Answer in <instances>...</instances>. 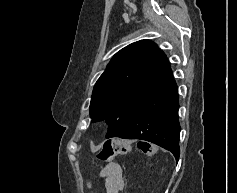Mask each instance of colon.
<instances>
[{
	"label": "colon",
	"instance_id": "1",
	"mask_svg": "<svg viewBox=\"0 0 237 193\" xmlns=\"http://www.w3.org/2000/svg\"><path fill=\"white\" fill-rule=\"evenodd\" d=\"M138 147L147 156L153 154V149L148 143L139 142ZM130 149L131 145L129 141H107L98 151L97 158L102 162L111 163L117 156L129 153Z\"/></svg>",
	"mask_w": 237,
	"mask_h": 193
}]
</instances>
